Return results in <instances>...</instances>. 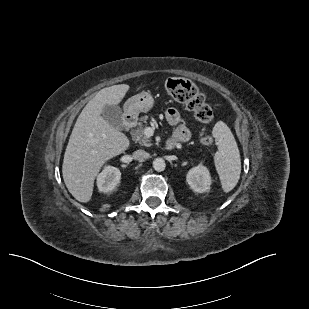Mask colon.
Instances as JSON below:
<instances>
[{"label": "colon", "mask_w": 309, "mask_h": 309, "mask_svg": "<svg viewBox=\"0 0 309 309\" xmlns=\"http://www.w3.org/2000/svg\"><path fill=\"white\" fill-rule=\"evenodd\" d=\"M166 90L176 101L184 104L188 110L192 111L200 122H211L213 118L212 109L192 82L182 78H169L166 81ZM212 142L213 139L210 136H204L201 139V143L206 146L211 145Z\"/></svg>", "instance_id": "obj_1"}]
</instances>
